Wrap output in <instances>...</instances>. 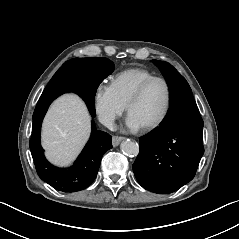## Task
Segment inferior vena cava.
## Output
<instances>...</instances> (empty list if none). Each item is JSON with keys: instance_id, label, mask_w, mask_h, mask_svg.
Wrapping results in <instances>:
<instances>
[{"instance_id": "602c4592", "label": "inferior vena cava", "mask_w": 239, "mask_h": 239, "mask_svg": "<svg viewBox=\"0 0 239 239\" xmlns=\"http://www.w3.org/2000/svg\"><path fill=\"white\" fill-rule=\"evenodd\" d=\"M103 124L110 130V131H117V125L114 123L113 119L104 118Z\"/></svg>"}]
</instances>
